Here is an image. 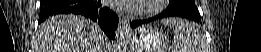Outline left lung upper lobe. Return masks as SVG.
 I'll list each match as a JSON object with an SVG mask.
<instances>
[{"label":"left lung upper lobe","instance_id":"1","mask_svg":"<svg viewBox=\"0 0 261 52\" xmlns=\"http://www.w3.org/2000/svg\"><path fill=\"white\" fill-rule=\"evenodd\" d=\"M169 8H181L186 9L198 16H200L199 11L195 5V0H171Z\"/></svg>","mask_w":261,"mask_h":52}]
</instances>
